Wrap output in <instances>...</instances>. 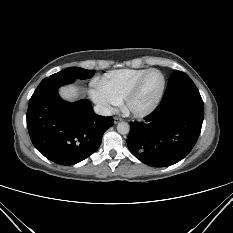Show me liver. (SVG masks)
Masks as SVG:
<instances>
[{"mask_svg": "<svg viewBox=\"0 0 233 233\" xmlns=\"http://www.w3.org/2000/svg\"><path fill=\"white\" fill-rule=\"evenodd\" d=\"M59 95L64 100L73 101L79 97V89L74 85L62 86L59 88Z\"/></svg>", "mask_w": 233, "mask_h": 233, "instance_id": "6515ba94", "label": "liver"}]
</instances>
